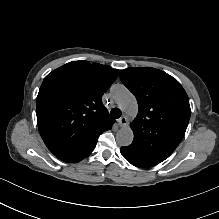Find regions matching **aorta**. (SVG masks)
<instances>
[{
    "label": "aorta",
    "mask_w": 219,
    "mask_h": 219,
    "mask_svg": "<svg viewBox=\"0 0 219 219\" xmlns=\"http://www.w3.org/2000/svg\"><path fill=\"white\" fill-rule=\"evenodd\" d=\"M112 93L119 108L131 115L138 111V104L135 97L128 89L120 84L112 87ZM134 138L132 129L129 126L122 127L116 134V141L121 146H129Z\"/></svg>",
    "instance_id": "aorta-1"
}]
</instances>
